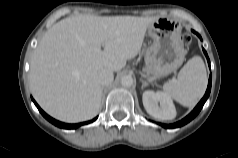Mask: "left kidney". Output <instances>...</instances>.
Segmentation results:
<instances>
[{
	"instance_id": "5707ae66",
	"label": "left kidney",
	"mask_w": 238,
	"mask_h": 158,
	"mask_svg": "<svg viewBox=\"0 0 238 158\" xmlns=\"http://www.w3.org/2000/svg\"><path fill=\"white\" fill-rule=\"evenodd\" d=\"M142 101L147 113L158 120H172L176 117L171 98L161 91H145Z\"/></svg>"
}]
</instances>
